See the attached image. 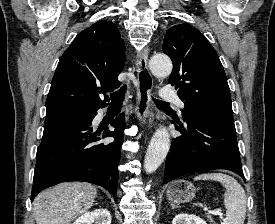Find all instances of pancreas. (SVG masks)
Returning a JSON list of instances; mask_svg holds the SVG:
<instances>
[{
    "label": "pancreas",
    "instance_id": "obj_1",
    "mask_svg": "<svg viewBox=\"0 0 275 224\" xmlns=\"http://www.w3.org/2000/svg\"><path fill=\"white\" fill-rule=\"evenodd\" d=\"M207 218H208L211 222H213V219H212V217H211L210 215H207Z\"/></svg>",
    "mask_w": 275,
    "mask_h": 224
}]
</instances>
